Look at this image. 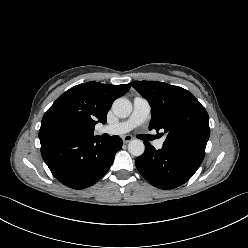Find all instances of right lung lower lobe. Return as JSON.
<instances>
[{
    "label": "right lung lower lobe",
    "instance_id": "1",
    "mask_svg": "<svg viewBox=\"0 0 248 248\" xmlns=\"http://www.w3.org/2000/svg\"><path fill=\"white\" fill-rule=\"evenodd\" d=\"M42 157L53 176L73 189L96 183L110 168L122 139L100 136L40 139Z\"/></svg>",
    "mask_w": 248,
    "mask_h": 248
}]
</instances>
